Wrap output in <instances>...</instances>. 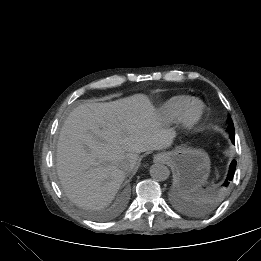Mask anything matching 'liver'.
<instances>
[{
  "instance_id": "liver-1",
  "label": "liver",
  "mask_w": 261,
  "mask_h": 261,
  "mask_svg": "<svg viewBox=\"0 0 261 261\" xmlns=\"http://www.w3.org/2000/svg\"><path fill=\"white\" fill-rule=\"evenodd\" d=\"M172 136L160 128L144 94L108 103H85L65 120L57 144V173L79 207L98 210L115 197L145 151L163 150Z\"/></svg>"
}]
</instances>
